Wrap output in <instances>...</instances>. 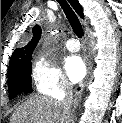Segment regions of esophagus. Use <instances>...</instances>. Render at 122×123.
I'll return each mask as SVG.
<instances>
[{
    "label": "esophagus",
    "instance_id": "1",
    "mask_svg": "<svg viewBox=\"0 0 122 123\" xmlns=\"http://www.w3.org/2000/svg\"><path fill=\"white\" fill-rule=\"evenodd\" d=\"M91 69H92V62H91V58H90V55H89L88 59H87V76H86L84 82L81 84V87H84V85L86 84L87 80L89 79V76L91 74Z\"/></svg>",
    "mask_w": 122,
    "mask_h": 123
}]
</instances>
